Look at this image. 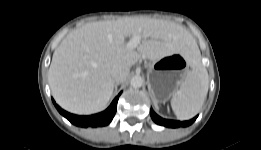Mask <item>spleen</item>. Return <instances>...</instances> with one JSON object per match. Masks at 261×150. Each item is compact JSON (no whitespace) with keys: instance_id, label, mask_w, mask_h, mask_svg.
Returning <instances> with one entry per match:
<instances>
[{"instance_id":"obj_1","label":"spleen","mask_w":261,"mask_h":150,"mask_svg":"<svg viewBox=\"0 0 261 150\" xmlns=\"http://www.w3.org/2000/svg\"><path fill=\"white\" fill-rule=\"evenodd\" d=\"M188 72L176 95L171 99V107L179 120L193 118L201 110L207 97L209 78L206 68L201 63L200 51L195 43L190 50Z\"/></svg>"}]
</instances>
